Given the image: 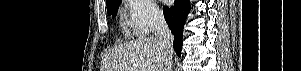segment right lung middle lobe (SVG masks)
I'll list each match as a JSON object with an SVG mask.
<instances>
[{
    "label": "right lung middle lobe",
    "mask_w": 301,
    "mask_h": 71,
    "mask_svg": "<svg viewBox=\"0 0 301 71\" xmlns=\"http://www.w3.org/2000/svg\"><path fill=\"white\" fill-rule=\"evenodd\" d=\"M120 2L121 0H113L109 3H106L108 15H112V17L116 16Z\"/></svg>",
    "instance_id": "right-lung-middle-lobe-1"
}]
</instances>
